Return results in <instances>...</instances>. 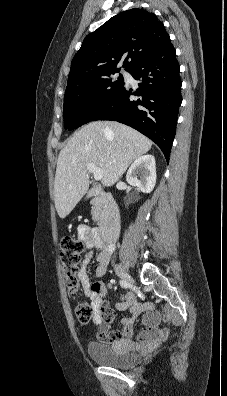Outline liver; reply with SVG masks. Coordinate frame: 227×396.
Masks as SVG:
<instances>
[{
	"mask_svg": "<svg viewBox=\"0 0 227 396\" xmlns=\"http://www.w3.org/2000/svg\"><path fill=\"white\" fill-rule=\"evenodd\" d=\"M152 141L124 124L90 122L74 133L60 151L54 182L55 208L64 219L89 188L87 164L103 171V186L114 185L128 166L147 153Z\"/></svg>",
	"mask_w": 227,
	"mask_h": 396,
	"instance_id": "obj_1",
	"label": "liver"
}]
</instances>
